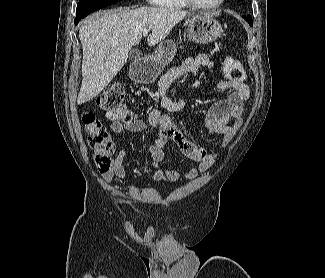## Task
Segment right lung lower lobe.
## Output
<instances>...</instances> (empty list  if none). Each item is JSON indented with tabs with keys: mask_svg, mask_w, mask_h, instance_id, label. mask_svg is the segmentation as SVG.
Here are the masks:
<instances>
[{
	"mask_svg": "<svg viewBox=\"0 0 325 278\" xmlns=\"http://www.w3.org/2000/svg\"><path fill=\"white\" fill-rule=\"evenodd\" d=\"M87 15H80V16H78V17H76L75 18V24H78V22L82 19V18H84V17H86Z\"/></svg>",
	"mask_w": 325,
	"mask_h": 278,
	"instance_id": "98d812e1",
	"label": "right lung lower lobe"
}]
</instances>
